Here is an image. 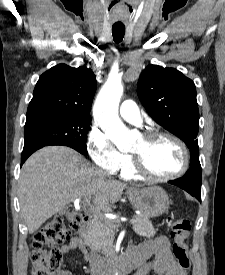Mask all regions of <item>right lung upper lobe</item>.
Instances as JSON below:
<instances>
[{"mask_svg":"<svg viewBox=\"0 0 225 275\" xmlns=\"http://www.w3.org/2000/svg\"><path fill=\"white\" fill-rule=\"evenodd\" d=\"M95 90L96 80L91 69L58 64L40 76L26 116L89 115Z\"/></svg>","mask_w":225,"mask_h":275,"instance_id":"1","label":"right lung upper lobe"}]
</instances>
